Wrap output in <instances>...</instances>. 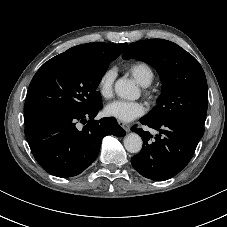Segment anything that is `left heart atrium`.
Wrapping results in <instances>:
<instances>
[{
    "instance_id": "obj_1",
    "label": "left heart atrium",
    "mask_w": 227,
    "mask_h": 227,
    "mask_svg": "<svg viewBox=\"0 0 227 227\" xmlns=\"http://www.w3.org/2000/svg\"><path fill=\"white\" fill-rule=\"evenodd\" d=\"M104 112L121 122H130L145 113V106L138 101L115 100L106 105Z\"/></svg>"
}]
</instances>
